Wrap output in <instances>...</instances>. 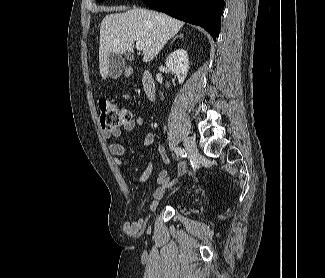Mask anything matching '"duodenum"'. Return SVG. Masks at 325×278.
<instances>
[{"mask_svg": "<svg viewBox=\"0 0 325 278\" xmlns=\"http://www.w3.org/2000/svg\"><path fill=\"white\" fill-rule=\"evenodd\" d=\"M142 85L146 97L149 100H153L156 96V84L153 75L150 72L144 74Z\"/></svg>", "mask_w": 325, "mask_h": 278, "instance_id": "obj_1", "label": "duodenum"}]
</instances>
